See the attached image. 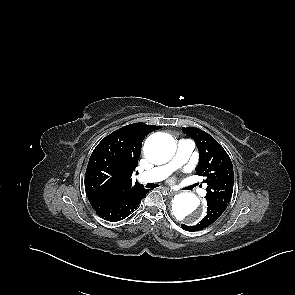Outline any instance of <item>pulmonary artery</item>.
<instances>
[{
	"mask_svg": "<svg viewBox=\"0 0 295 295\" xmlns=\"http://www.w3.org/2000/svg\"><path fill=\"white\" fill-rule=\"evenodd\" d=\"M194 149V143L188 139H182L178 142L177 151L174 158L167 164L155 167L149 171L142 173L139 179L142 182H159L169 176L174 170L181 167L189 159ZM201 195L205 194V190H200Z\"/></svg>",
	"mask_w": 295,
	"mask_h": 295,
	"instance_id": "e3ab8cb5",
	"label": "pulmonary artery"
}]
</instances>
